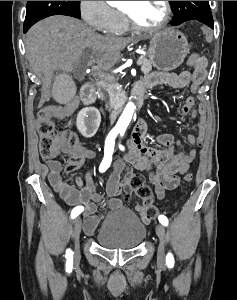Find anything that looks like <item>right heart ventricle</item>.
<instances>
[{
  "mask_svg": "<svg viewBox=\"0 0 237 300\" xmlns=\"http://www.w3.org/2000/svg\"><path fill=\"white\" fill-rule=\"evenodd\" d=\"M129 29V25L125 21L124 17L118 12V32H125Z\"/></svg>",
  "mask_w": 237,
  "mask_h": 300,
  "instance_id": "e07e8e85",
  "label": "right heart ventricle"
}]
</instances>
